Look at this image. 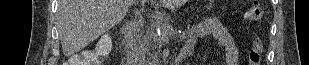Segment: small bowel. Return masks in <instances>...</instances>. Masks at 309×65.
Here are the masks:
<instances>
[{
    "label": "small bowel",
    "instance_id": "1",
    "mask_svg": "<svg viewBox=\"0 0 309 65\" xmlns=\"http://www.w3.org/2000/svg\"><path fill=\"white\" fill-rule=\"evenodd\" d=\"M207 36H212L225 48L226 65H237L238 52L233 37L219 20L214 17L208 18L190 30L184 48L190 47L194 49L197 40Z\"/></svg>",
    "mask_w": 309,
    "mask_h": 65
}]
</instances>
